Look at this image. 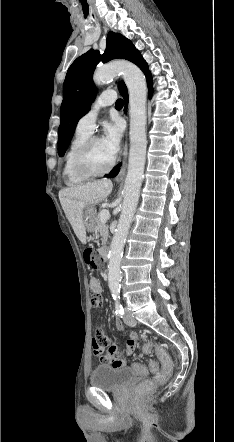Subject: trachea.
<instances>
[{
  "mask_svg": "<svg viewBox=\"0 0 234 442\" xmlns=\"http://www.w3.org/2000/svg\"><path fill=\"white\" fill-rule=\"evenodd\" d=\"M116 107H123V100L122 99H118L115 103Z\"/></svg>",
  "mask_w": 234,
  "mask_h": 442,
  "instance_id": "1",
  "label": "trachea"
}]
</instances>
